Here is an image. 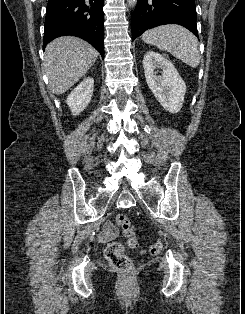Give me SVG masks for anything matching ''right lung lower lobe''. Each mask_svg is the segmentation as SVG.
I'll return each instance as SVG.
<instances>
[{
  "label": "right lung lower lobe",
  "instance_id": "98d812e1",
  "mask_svg": "<svg viewBox=\"0 0 245 314\" xmlns=\"http://www.w3.org/2000/svg\"><path fill=\"white\" fill-rule=\"evenodd\" d=\"M104 0H49L43 49L54 38L72 35L93 45L104 58Z\"/></svg>",
  "mask_w": 245,
  "mask_h": 314
}]
</instances>
